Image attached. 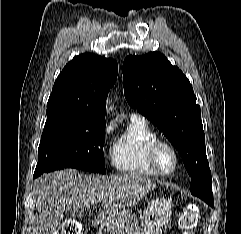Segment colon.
<instances>
[{
    "instance_id": "5ec220e1",
    "label": "colon",
    "mask_w": 241,
    "mask_h": 234,
    "mask_svg": "<svg viewBox=\"0 0 241 234\" xmlns=\"http://www.w3.org/2000/svg\"><path fill=\"white\" fill-rule=\"evenodd\" d=\"M197 219L198 211L195 207H189L183 211L179 223L184 234H194ZM59 234H80L79 224L74 220H66Z\"/></svg>"
}]
</instances>
